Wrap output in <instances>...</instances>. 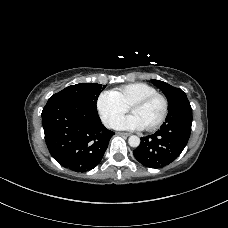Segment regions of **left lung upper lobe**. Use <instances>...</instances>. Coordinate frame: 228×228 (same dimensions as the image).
Returning a JSON list of instances; mask_svg holds the SVG:
<instances>
[{
  "label": "left lung upper lobe",
  "mask_w": 228,
  "mask_h": 228,
  "mask_svg": "<svg viewBox=\"0 0 228 228\" xmlns=\"http://www.w3.org/2000/svg\"><path fill=\"white\" fill-rule=\"evenodd\" d=\"M152 83L159 87L168 99L169 111H179L183 102L188 101L186 94L179 88H175L163 81L152 79Z\"/></svg>",
  "instance_id": "1"
}]
</instances>
